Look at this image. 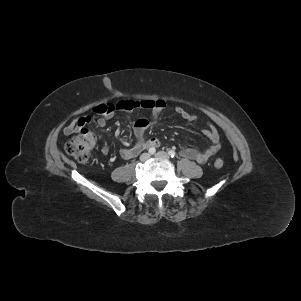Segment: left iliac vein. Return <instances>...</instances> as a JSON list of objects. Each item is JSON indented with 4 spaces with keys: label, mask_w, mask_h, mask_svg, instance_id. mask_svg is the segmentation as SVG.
Here are the masks:
<instances>
[{
    "label": "left iliac vein",
    "mask_w": 301,
    "mask_h": 301,
    "mask_svg": "<svg viewBox=\"0 0 301 301\" xmlns=\"http://www.w3.org/2000/svg\"><path fill=\"white\" fill-rule=\"evenodd\" d=\"M155 156L160 159L169 160V155L164 151L157 152Z\"/></svg>",
    "instance_id": "4c4485c4"
}]
</instances>
